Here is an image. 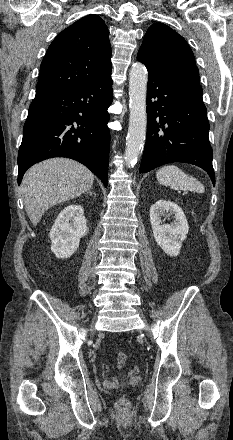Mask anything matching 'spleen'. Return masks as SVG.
<instances>
[{
    "label": "spleen",
    "instance_id": "obj_1",
    "mask_svg": "<svg viewBox=\"0 0 233 440\" xmlns=\"http://www.w3.org/2000/svg\"><path fill=\"white\" fill-rule=\"evenodd\" d=\"M160 184L169 186L174 190H189L204 193L205 188L196 178L189 176L175 165H166L156 172Z\"/></svg>",
    "mask_w": 233,
    "mask_h": 440
}]
</instances>
